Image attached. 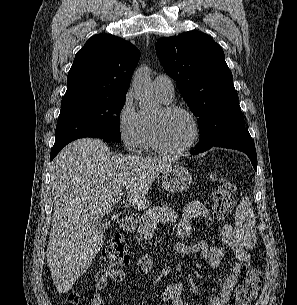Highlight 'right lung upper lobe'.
<instances>
[{"instance_id":"right-lung-upper-lobe-1","label":"right lung upper lobe","mask_w":297,"mask_h":305,"mask_svg":"<svg viewBox=\"0 0 297 305\" xmlns=\"http://www.w3.org/2000/svg\"><path fill=\"white\" fill-rule=\"evenodd\" d=\"M140 52L129 41L100 34L77 52L62 101L86 96L126 95Z\"/></svg>"}]
</instances>
